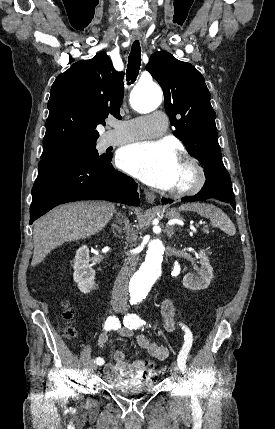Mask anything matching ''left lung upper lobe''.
Here are the masks:
<instances>
[{
    "label": "left lung upper lobe",
    "instance_id": "obj_1",
    "mask_svg": "<svg viewBox=\"0 0 275 429\" xmlns=\"http://www.w3.org/2000/svg\"><path fill=\"white\" fill-rule=\"evenodd\" d=\"M146 69L163 89L165 109L176 128L173 134L204 165L206 178L230 179L221 158L216 114L201 73L166 51L153 53Z\"/></svg>",
    "mask_w": 275,
    "mask_h": 429
}]
</instances>
